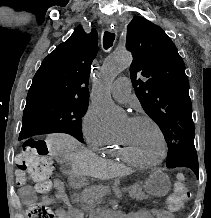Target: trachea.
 Returning a JSON list of instances; mask_svg holds the SVG:
<instances>
[{"label": "trachea", "mask_w": 211, "mask_h": 218, "mask_svg": "<svg viewBox=\"0 0 211 218\" xmlns=\"http://www.w3.org/2000/svg\"><path fill=\"white\" fill-rule=\"evenodd\" d=\"M115 40V34L111 32H105L103 36V46L107 50L112 47Z\"/></svg>", "instance_id": "1"}]
</instances>
